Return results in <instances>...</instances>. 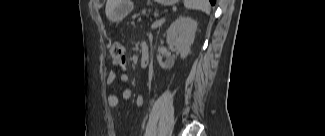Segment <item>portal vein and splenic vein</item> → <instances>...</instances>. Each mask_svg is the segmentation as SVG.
I'll list each match as a JSON object with an SVG mask.
<instances>
[{"instance_id":"18ae733b","label":"portal vein and splenic vein","mask_w":325,"mask_h":136,"mask_svg":"<svg viewBox=\"0 0 325 136\" xmlns=\"http://www.w3.org/2000/svg\"><path fill=\"white\" fill-rule=\"evenodd\" d=\"M164 21H165L164 18H161L160 20H157L154 24H152V28L158 27Z\"/></svg>"}]
</instances>
